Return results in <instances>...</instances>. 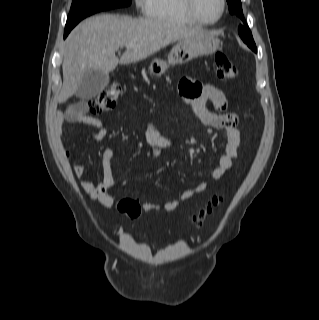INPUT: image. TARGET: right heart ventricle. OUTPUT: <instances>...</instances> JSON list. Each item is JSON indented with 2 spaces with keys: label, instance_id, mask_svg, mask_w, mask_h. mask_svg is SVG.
Segmentation results:
<instances>
[{
  "label": "right heart ventricle",
  "instance_id": "right-heart-ventricle-1",
  "mask_svg": "<svg viewBox=\"0 0 319 320\" xmlns=\"http://www.w3.org/2000/svg\"><path fill=\"white\" fill-rule=\"evenodd\" d=\"M146 14L149 18L180 25H196L188 15L184 0H148Z\"/></svg>",
  "mask_w": 319,
  "mask_h": 320
}]
</instances>
